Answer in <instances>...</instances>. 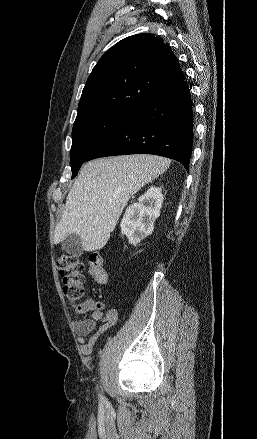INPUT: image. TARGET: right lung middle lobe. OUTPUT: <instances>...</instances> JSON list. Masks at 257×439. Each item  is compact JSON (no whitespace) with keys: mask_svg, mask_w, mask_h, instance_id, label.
<instances>
[{"mask_svg":"<svg viewBox=\"0 0 257 439\" xmlns=\"http://www.w3.org/2000/svg\"><path fill=\"white\" fill-rule=\"evenodd\" d=\"M129 114L93 112L76 117L72 130L71 169L74 178L102 140Z\"/></svg>","mask_w":257,"mask_h":439,"instance_id":"1","label":"right lung middle lobe"}]
</instances>
